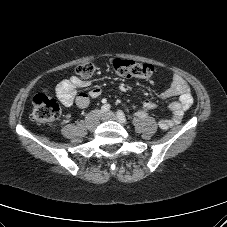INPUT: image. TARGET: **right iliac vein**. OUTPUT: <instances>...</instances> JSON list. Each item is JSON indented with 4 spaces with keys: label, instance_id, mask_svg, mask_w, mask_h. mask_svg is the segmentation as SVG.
<instances>
[{
    "label": "right iliac vein",
    "instance_id": "63e3f726",
    "mask_svg": "<svg viewBox=\"0 0 227 227\" xmlns=\"http://www.w3.org/2000/svg\"><path fill=\"white\" fill-rule=\"evenodd\" d=\"M103 112L101 110H94L86 117V124L89 129H95L98 125L99 119H102Z\"/></svg>",
    "mask_w": 227,
    "mask_h": 227
}]
</instances>
